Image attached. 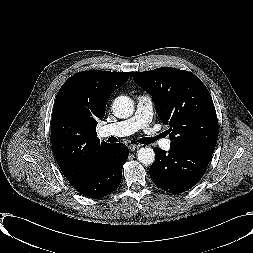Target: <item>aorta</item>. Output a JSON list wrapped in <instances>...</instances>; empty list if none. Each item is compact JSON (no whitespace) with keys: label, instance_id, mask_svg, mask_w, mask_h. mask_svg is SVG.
Wrapping results in <instances>:
<instances>
[{"label":"aorta","instance_id":"762f6f07","mask_svg":"<svg viewBox=\"0 0 253 253\" xmlns=\"http://www.w3.org/2000/svg\"><path fill=\"white\" fill-rule=\"evenodd\" d=\"M112 110L117 118H128L134 112V102L128 96H119L114 100ZM137 159L143 165H151L155 161V152L150 147H142L137 151Z\"/></svg>","mask_w":253,"mask_h":253}]
</instances>
